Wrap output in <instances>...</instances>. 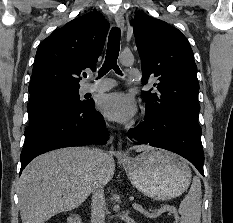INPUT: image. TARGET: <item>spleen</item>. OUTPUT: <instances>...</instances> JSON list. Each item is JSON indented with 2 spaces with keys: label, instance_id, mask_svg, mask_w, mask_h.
I'll return each instance as SVG.
<instances>
[{
  "label": "spleen",
  "instance_id": "3e777b00",
  "mask_svg": "<svg viewBox=\"0 0 233 223\" xmlns=\"http://www.w3.org/2000/svg\"><path fill=\"white\" fill-rule=\"evenodd\" d=\"M201 193V181L198 175H194L189 193L185 195L179 205L181 223H200Z\"/></svg>",
  "mask_w": 233,
  "mask_h": 223
}]
</instances>
